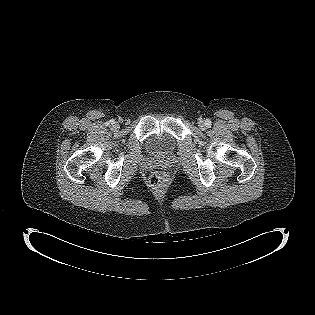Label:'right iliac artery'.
<instances>
[{
	"label": "right iliac artery",
	"instance_id": "right-iliac-artery-1",
	"mask_svg": "<svg viewBox=\"0 0 315 315\" xmlns=\"http://www.w3.org/2000/svg\"><path fill=\"white\" fill-rule=\"evenodd\" d=\"M114 123H115V120L112 119L107 123V125L114 124Z\"/></svg>",
	"mask_w": 315,
	"mask_h": 315
}]
</instances>
